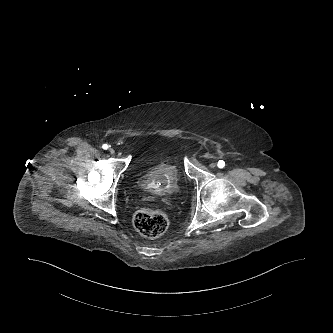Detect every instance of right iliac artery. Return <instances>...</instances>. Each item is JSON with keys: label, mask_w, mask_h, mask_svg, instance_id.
Instances as JSON below:
<instances>
[{"label": "right iliac artery", "mask_w": 333, "mask_h": 333, "mask_svg": "<svg viewBox=\"0 0 333 333\" xmlns=\"http://www.w3.org/2000/svg\"><path fill=\"white\" fill-rule=\"evenodd\" d=\"M108 147H109V146H108L107 144H103V145H102V148H103L104 150H107Z\"/></svg>", "instance_id": "right-iliac-artery-1"}]
</instances>
